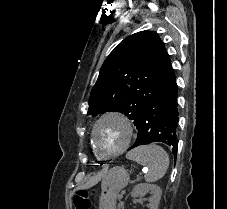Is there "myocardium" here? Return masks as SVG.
Wrapping results in <instances>:
<instances>
[{"label": "myocardium", "mask_w": 227, "mask_h": 209, "mask_svg": "<svg viewBox=\"0 0 227 209\" xmlns=\"http://www.w3.org/2000/svg\"><path fill=\"white\" fill-rule=\"evenodd\" d=\"M108 117H114V118H117L120 121H122L126 125V127L128 129V137H127V140L125 141L124 145L120 149H118L116 151H113V152H110V153H107V154H102L99 151L98 146L96 144L95 130H96L97 125L103 119L108 118ZM133 135H134V128L132 126V123H131L129 117L126 114H124V113H122L120 111L110 110V111H107V112L103 113L102 115H100L95 120V122H94V124L92 126V129H91L90 141H91V145H92V148H93L96 156L99 159L107 160V159H111V158L119 156L129 146V144L131 143Z\"/></svg>", "instance_id": "1"}]
</instances>
